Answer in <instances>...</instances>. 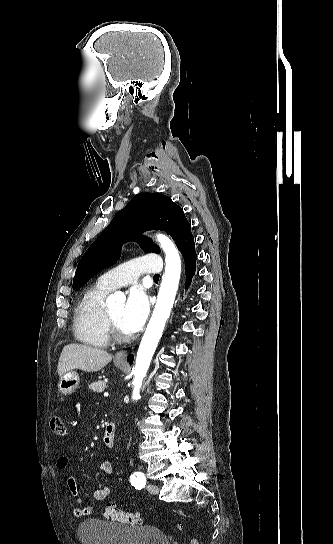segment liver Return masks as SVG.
Here are the masks:
<instances>
[{
  "label": "liver",
  "instance_id": "6515ba94",
  "mask_svg": "<svg viewBox=\"0 0 333 544\" xmlns=\"http://www.w3.org/2000/svg\"><path fill=\"white\" fill-rule=\"evenodd\" d=\"M111 360L112 355L105 350L72 343L64 346L59 358L57 371L60 377L73 369L97 372Z\"/></svg>",
  "mask_w": 333,
  "mask_h": 544
}]
</instances>
